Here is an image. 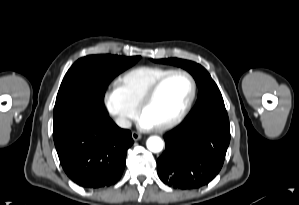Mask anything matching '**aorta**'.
<instances>
[{
    "label": "aorta",
    "mask_w": 299,
    "mask_h": 205,
    "mask_svg": "<svg viewBox=\"0 0 299 205\" xmlns=\"http://www.w3.org/2000/svg\"><path fill=\"white\" fill-rule=\"evenodd\" d=\"M146 145L148 150H150L153 153H158L162 151L164 142L160 137L152 136L148 138Z\"/></svg>",
    "instance_id": "1"
}]
</instances>
